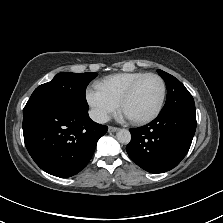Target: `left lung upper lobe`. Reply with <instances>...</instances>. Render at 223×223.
<instances>
[{
  "label": "left lung upper lobe",
  "mask_w": 223,
  "mask_h": 223,
  "mask_svg": "<svg viewBox=\"0 0 223 223\" xmlns=\"http://www.w3.org/2000/svg\"><path fill=\"white\" fill-rule=\"evenodd\" d=\"M158 73L167 86V99L160 114L176 110L195 111L194 99L186 87L174 76L162 70H158Z\"/></svg>",
  "instance_id": "1"
}]
</instances>
